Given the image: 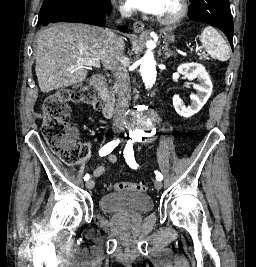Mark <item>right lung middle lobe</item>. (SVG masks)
Masks as SVG:
<instances>
[{"label":"right lung middle lobe","instance_id":"obj_1","mask_svg":"<svg viewBox=\"0 0 256 267\" xmlns=\"http://www.w3.org/2000/svg\"><path fill=\"white\" fill-rule=\"evenodd\" d=\"M110 0H44L39 18L54 10H63L73 14H79L90 6H99L109 3Z\"/></svg>","mask_w":256,"mask_h":267}]
</instances>
